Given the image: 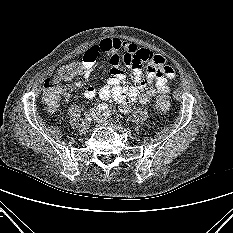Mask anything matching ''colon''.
Returning a JSON list of instances; mask_svg holds the SVG:
<instances>
[{
	"label": "colon",
	"mask_w": 233,
	"mask_h": 233,
	"mask_svg": "<svg viewBox=\"0 0 233 233\" xmlns=\"http://www.w3.org/2000/svg\"><path fill=\"white\" fill-rule=\"evenodd\" d=\"M82 73V64L72 62L60 67L54 78H48L44 83L42 101L46 109L54 111L60 96L64 91L63 82L71 80L75 75ZM171 106V98L167 94H159L155 99V107L159 112H166Z\"/></svg>",
	"instance_id": "5ec220e1"
}]
</instances>
